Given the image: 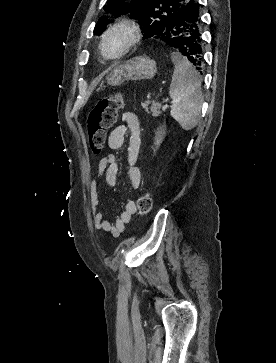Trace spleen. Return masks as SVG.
<instances>
[{
    "mask_svg": "<svg viewBox=\"0 0 276 363\" xmlns=\"http://www.w3.org/2000/svg\"><path fill=\"white\" fill-rule=\"evenodd\" d=\"M174 72L169 94L173 101L170 114L182 129H193L200 120L203 96L201 80L191 63L180 53L171 54Z\"/></svg>",
    "mask_w": 276,
    "mask_h": 363,
    "instance_id": "1",
    "label": "spleen"
}]
</instances>
